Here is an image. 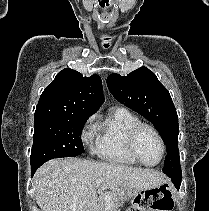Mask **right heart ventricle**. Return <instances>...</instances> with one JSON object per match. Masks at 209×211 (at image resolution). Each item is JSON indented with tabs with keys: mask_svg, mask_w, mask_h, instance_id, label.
<instances>
[{
	"mask_svg": "<svg viewBox=\"0 0 209 211\" xmlns=\"http://www.w3.org/2000/svg\"><path fill=\"white\" fill-rule=\"evenodd\" d=\"M139 119L123 108L112 110L106 118L96 125V140L93 153L101 160L123 166H135L138 162L127 148L130 130L139 123Z\"/></svg>",
	"mask_w": 209,
	"mask_h": 211,
	"instance_id": "right-heart-ventricle-1",
	"label": "right heart ventricle"
}]
</instances>
